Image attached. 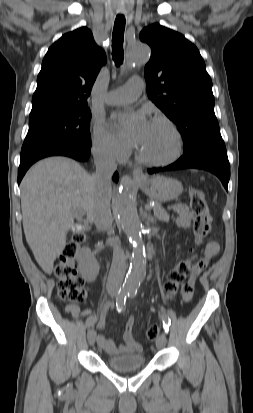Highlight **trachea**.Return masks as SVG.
I'll return each mask as SVG.
<instances>
[{"label":"trachea","mask_w":253,"mask_h":413,"mask_svg":"<svg viewBox=\"0 0 253 413\" xmlns=\"http://www.w3.org/2000/svg\"><path fill=\"white\" fill-rule=\"evenodd\" d=\"M125 30V17L123 15H117L114 23V29L112 34V57L117 66L123 63L124 50L123 39Z\"/></svg>","instance_id":"3493384b"}]
</instances>
